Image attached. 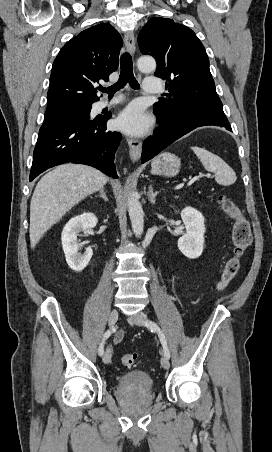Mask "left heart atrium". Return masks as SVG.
Returning a JSON list of instances; mask_svg holds the SVG:
<instances>
[{
  "instance_id": "1",
  "label": "left heart atrium",
  "mask_w": 272,
  "mask_h": 452,
  "mask_svg": "<svg viewBox=\"0 0 272 452\" xmlns=\"http://www.w3.org/2000/svg\"><path fill=\"white\" fill-rule=\"evenodd\" d=\"M151 124V118L146 114L144 107L133 103L127 106L117 117L115 127L131 135L144 133Z\"/></svg>"
}]
</instances>
